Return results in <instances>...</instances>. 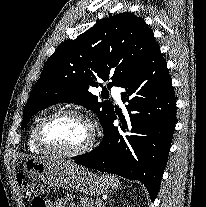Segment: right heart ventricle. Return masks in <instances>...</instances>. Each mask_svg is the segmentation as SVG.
I'll use <instances>...</instances> for the list:
<instances>
[{
    "label": "right heart ventricle",
    "instance_id": "1",
    "mask_svg": "<svg viewBox=\"0 0 206 207\" xmlns=\"http://www.w3.org/2000/svg\"><path fill=\"white\" fill-rule=\"evenodd\" d=\"M42 118H40L37 123L41 120ZM37 123L32 127V129L30 130L29 132V136H28V148L31 152H35V153H39L41 152V150H39L35 145H34V142H33V131H34V128L35 126L37 125Z\"/></svg>",
    "mask_w": 206,
    "mask_h": 207
}]
</instances>
